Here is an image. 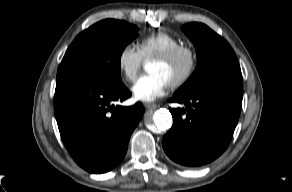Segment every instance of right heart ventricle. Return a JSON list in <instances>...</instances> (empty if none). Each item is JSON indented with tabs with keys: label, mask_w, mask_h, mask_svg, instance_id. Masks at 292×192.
I'll use <instances>...</instances> for the list:
<instances>
[{
	"label": "right heart ventricle",
	"mask_w": 292,
	"mask_h": 192,
	"mask_svg": "<svg viewBox=\"0 0 292 192\" xmlns=\"http://www.w3.org/2000/svg\"><path fill=\"white\" fill-rule=\"evenodd\" d=\"M181 44V39L165 31L150 33L138 42V51L143 60H148Z\"/></svg>",
	"instance_id": "obj_1"
}]
</instances>
